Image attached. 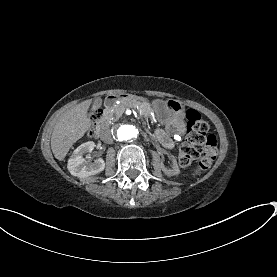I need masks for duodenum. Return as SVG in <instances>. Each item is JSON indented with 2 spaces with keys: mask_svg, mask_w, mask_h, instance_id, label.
Listing matches in <instances>:
<instances>
[{
  "mask_svg": "<svg viewBox=\"0 0 277 277\" xmlns=\"http://www.w3.org/2000/svg\"><path fill=\"white\" fill-rule=\"evenodd\" d=\"M126 99H128V96L125 94H114V95L109 96L105 100L102 118L95 127V136L96 137H99L105 130L107 117H108L110 111L116 105V103L118 101H122V100H126Z\"/></svg>",
  "mask_w": 277,
  "mask_h": 277,
  "instance_id": "obj_1",
  "label": "duodenum"
}]
</instances>
